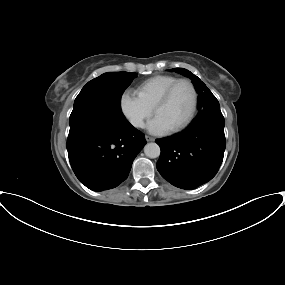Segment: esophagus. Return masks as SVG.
I'll return each instance as SVG.
<instances>
[{"instance_id":"34e87169","label":"esophagus","mask_w":285,"mask_h":285,"mask_svg":"<svg viewBox=\"0 0 285 285\" xmlns=\"http://www.w3.org/2000/svg\"><path fill=\"white\" fill-rule=\"evenodd\" d=\"M145 138H146V140H147L148 142L155 141V139H154L153 137L148 136V135H146Z\"/></svg>"}]
</instances>
